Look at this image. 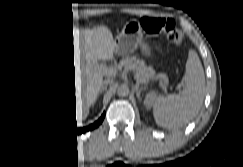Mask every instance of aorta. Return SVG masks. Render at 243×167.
Segmentation results:
<instances>
[{"label": "aorta", "instance_id": "762f6f07", "mask_svg": "<svg viewBox=\"0 0 243 167\" xmlns=\"http://www.w3.org/2000/svg\"><path fill=\"white\" fill-rule=\"evenodd\" d=\"M117 94L119 96H122V97L127 96L129 94V88H128V86L127 85H121V86H119L118 89H117Z\"/></svg>", "mask_w": 243, "mask_h": 167}]
</instances>
